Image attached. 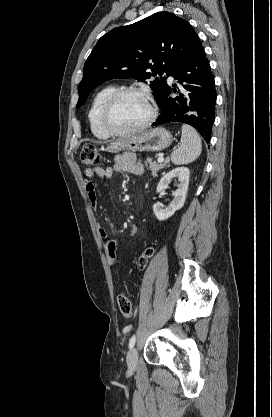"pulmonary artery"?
<instances>
[{
  "mask_svg": "<svg viewBox=\"0 0 272 417\" xmlns=\"http://www.w3.org/2000/svg\"><path fill=\"white\" fill-rule=\"evenodd\" d=\"M169 80H170V81H173L174 79H173V77H172V76H170V77H169Z\"/></svg>",
  "mask_w": 272,
  "mask_h": 417,
  "instance_id": "e3ab8cb5",
  "label": "pulmonary artery"
}]
</instances>
